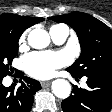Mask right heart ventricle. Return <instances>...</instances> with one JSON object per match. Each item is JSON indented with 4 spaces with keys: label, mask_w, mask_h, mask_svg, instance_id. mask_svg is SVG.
Listing matches in <instances>:
<instances>
[{
    "label": "right heart ventricle",
    "mask_w": 112,
    "mask_h": 112,
    "mask_svg": "<svg viewBox=\"0 0 112 112\" xmlns=\"http://www.w3.org/2000/svg\"><path fill=\"white\" fill-rule=\"evenodd\" d=\"M61 26H63V25H53V26L50 27V31H51L52 29H56V28H59V27H61Z\"/></svg>",
    "instance_id": "1"
}]
</instances>
